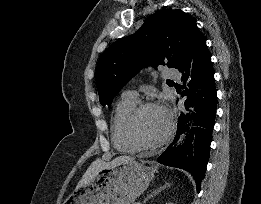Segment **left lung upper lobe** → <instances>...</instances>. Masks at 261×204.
<instances>
[{
	"instance_id": "obj_1",
	"label": "left lung upper lobe",
	"mask_w": 261,
	"mask_h": 204,
	"mask_svg": "<svg viewBox=\"0 0 261 204\" xmlns=\"http://www.w3.org/2000/svg\"><path fill=\"white\" fill-rule=\"evenodd\" d=\"M199 32L196 22L182 10H160L133 35L110 45L97 66V89L102 105H111L121 88L142 67L179 68Z\"/></svg>"
}]
</instances>
